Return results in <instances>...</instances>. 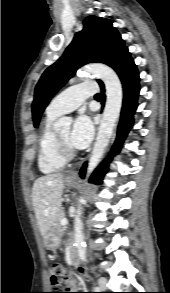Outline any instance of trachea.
Segmentation results:
<instances>
[{
    "mask_svg": "<svg viewBox=\"0 0 170 293\" xmlns=\"http://www.w3.org/2000/svg\"><path fill=\"white\" fill-rule=\"evenodd\" d=\"M95 97H101V94L98 93V94L95 95Z\"/></svg>",
    "mask_w": 170,
    "mask_h": 293,
    "instance_id": "trachea-1",
    "label": "trachea"
}]
</instances>
